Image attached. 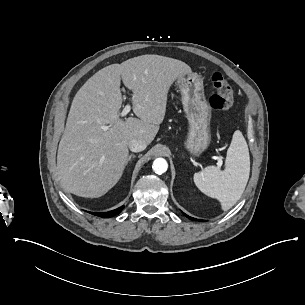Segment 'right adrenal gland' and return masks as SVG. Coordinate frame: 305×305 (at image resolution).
I'll return each instance as SVG.
<instances>
[{
    "instance_id": "2a0ac1e0",
    "label": "right adrenal gland",
    "mask_w": 305,
    "mask_h": 305,
    "mask_svg": "<svg viewBox=\"0 0 305 305\" xmlns=\"http://www.w3.org/2000/svg\"><path fill=\"white\" fill-rule=\"evenodd\" d=\"M132 157L135 158V155H130V156H129V160H130Z\"/></svg>"
}]
</instances>
